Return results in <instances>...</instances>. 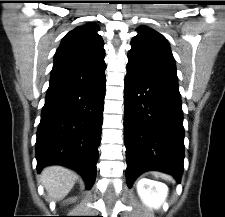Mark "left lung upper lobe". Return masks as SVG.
Masks as SVG:
<instances>
[{
  "label": "left lung upper lobe",
  "mask_w": 225,
  "mask_h": 217,
  "mask_svg": "<svg viewBox=\"0 0 225 217\" xmlns=\"http://www.w3.org/2000/svg\"><path fill=\"white\" fill-rule=\"evenodd\" d=\"M137 31L138 35L131 41L127 69L177 82L175 60L166 38L146 27H140Z\"/></svg>",
  "instance_id": "left-lung-upper-lobe-1"
}]
</instances>
